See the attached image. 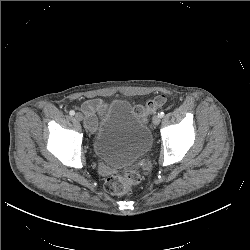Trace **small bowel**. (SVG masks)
I'll use <instances>...</instances> for the list:
<instances>
[{"label": "small bowel", "instance_id": "small-bowel-1", "mask_svg": "<svg viewBox=\"0 0 250 250\" xmlns=\"http://www.w3.org/2000/svg\"><path fill=\"white\" fill-rule=\"evenodd\" d=\"M105 107V102L99 98L89 99L80 104L79 108L85 116V125L88 129L95 128L97 115L104 111Z\"/></svg>", "mask_w": 250, "mask_h": 250}]
</instances>
